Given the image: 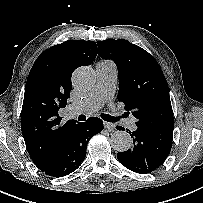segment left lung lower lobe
Returning a JSON list of instances; mask_svg holds the SVG:
<instances>
[{
    "label": "left lung lower lobe",
    "instance_id": "0a47b994",
    "mask_svg": "<svg viewBox=\"0 0 203 203\" xmlns=\"http://www.w3.org/2000/svg\"><path fill=\"white\" fill-rule=\"evenodd\" d=\"M129 134L133 138V147L117 153L120 163L139 174L158 169L170 153L173 135L139 127L133 132L129 130Z\"/></svg>",
    "mask_w": 203,
    "mask_h": 203
}]
</instances>
